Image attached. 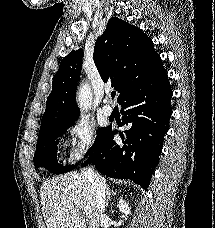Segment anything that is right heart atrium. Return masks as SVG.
<instances>
[{
    "label": "right heart atrium",
    "instance_id": "d8ad5b80",
    "mask_svg": "<svg viewBox=\"0 0 215 228\" xmlns=\"http://www.w3.org/2000/svg\"><path fill=\"white\" fill-rule=\"evenodd\" d=\"M67 133L72 142L69 151V159L72 163L88 156L96 146L97 129L88 118L80 117L72 121Z\"/></svg>",
    "mask_w": 215,
    "mask_h": 228
}]
</instances>
